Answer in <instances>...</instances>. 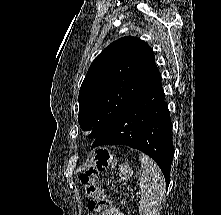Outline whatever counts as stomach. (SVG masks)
Segmentation results:
<instances>
[{
	"label": "stomach",
	"instance_id": "stomach-1",
	"mask_svg": "<svg viewBox=\"0 0 221 215\" xmlns=\"http://www.w3.org/2000/svg\"><path fill=\"white\" fill-rule=\"evenodd\" d=\"M118 170L120 171L119 177L121 180L129 178L133 173L132 168L127 163L120 164Z\"/></svg>",
	"mask_w": 221,
	"mask_h": 215
}]
</instances>
